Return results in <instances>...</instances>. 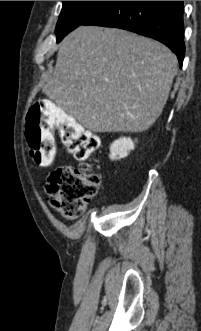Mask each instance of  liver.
Here are the masks:
<instances>
[{
  "instance_id": "liver-1",
  "label": "liver",
  "mask_w": 201,
  "mask_h": 331,
  "mask_svg": "<svg viewBox=\"0 0 201 331\" xmlns=\"http://www.w3.org/2000/svg\"><path fill=\"white\" fill-rule=\"evenodd\" d=\"M177 58L160 42L80 26L62 41L44 92L93 132H143L162 113Z\"/></svg>"
}]
</instances>
